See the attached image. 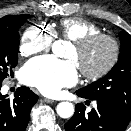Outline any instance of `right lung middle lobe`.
<instances>
[{"mask_svg":"<svg viewBox=\"0 0 131 131\" xmlns=\"http://www.w3.org/2000/svg\"><path fill=\"white\" fill-rule=\"evenodd\" d=\"M29 15H11L6 21H0V86L8 72L18 63V29Z\"/></svg>","mask_w":131,"mask_h":131,"instance_id":"1","label":"right lung middle lobe"}]
</instances>
